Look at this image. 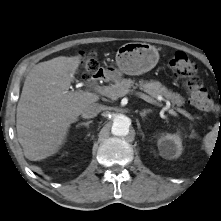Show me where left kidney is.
I'll list each match as a JSON object with an SVG mask.
<instances>
[{
	"mask_svg": "<svg viewBox=\"0 0 221 221\" xmlns=\"http://www.w3.org/2000/svg\"><path fill=\"white\" fill-rule=\"evenodd\" d=\"M157 145L160 155L166 159L178 158L183 150L182 140L178 133L161 135Z\"/></svg>",
	"mask_w": 221,
	"mask_h": 221,
	"instance_id": "left-kidney-1",
	"label": "left kidney"
}]
</instances>
